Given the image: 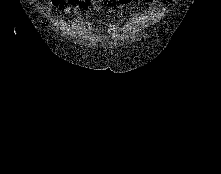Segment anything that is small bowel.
Here are the masks:
<instances>
[{"label":"small bowel","instance_id":"small-bowel-1","mask_svg":"<svg viewBox=\"0 0 221 174\" xmlns=\"http://www.w3.org/2000/svg\"><path fill=\"white\" fill-rule=\"evenodd\" d=\"M91 0H50V6L54 9L63 11L64 14L68 15L72 12H82L85 10L87 4ZM104 3L111 7L123 8L131 0H116L117 5L113 0H102Z\"/></svg>","mask_w":221,"mask_h":174}]
</instances>
